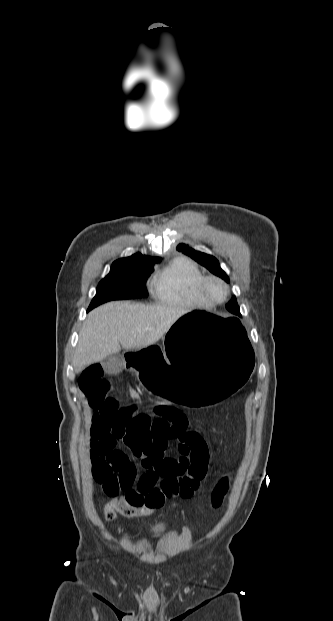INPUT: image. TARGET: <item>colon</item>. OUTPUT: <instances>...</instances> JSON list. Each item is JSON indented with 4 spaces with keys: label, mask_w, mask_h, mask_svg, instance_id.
I'll use <instances>...</instances> for the list:
<instances>
[{
    "label": "colon",
    "mask_w": 333,
    "mask_h": 621,
    "mask_svg": "<svg viewBox=\"0 0 333 621\" xmlns=\"http://www.w3.org/2000/svg\"><path fill=\"white\" fill-rule=\"evenodd\" d=\"M94 479L102 485L103 491L112 499L105 505V517L114 520L117 513L125 516H142L150 514L158 508L153 507H132L122 497H118L120 491L131 488L136 480V467L131 461H127L122 469L110 466L108 463H101L93 472ZM229 482L227 477H222L215 485L211 493V504L217 508L221 506L227 491Z\"/></svg>",
    "instance_id": "colon-1"
}]
</instances>
